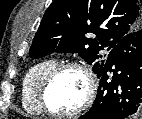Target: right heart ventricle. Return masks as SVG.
Masks as SVG:
<instances>
[{"mask_svg": "<svg viewBox=\"0 0 142 119\" xmlns=\"http://www.w3.org/2000/svg\"><path fill=\"white\" fill-rule=\"evenodd\" d=\"M56 64L53 58L44 59L33 65L26 73L22 83L21 101L23 108L29 114H43L38 98L39 89L45 76Z\"/></svg>", "mask_w": 142, "mask_h": 119, "instance_id": "e07e8e85", "label": "right heart ventricle"}]
</instances>
